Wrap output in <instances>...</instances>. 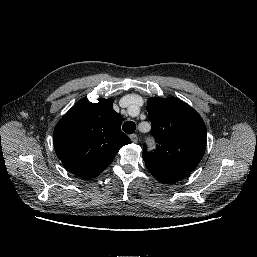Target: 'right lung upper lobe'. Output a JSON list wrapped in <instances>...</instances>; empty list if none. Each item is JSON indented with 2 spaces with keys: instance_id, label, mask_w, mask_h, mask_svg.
I'll return each instance as SVG.
<instances>
[{
  "instance_id": "obj_1",
  "label": "right lung upper lobe",
  "mask_w": 257,
  "mask_h": 257,
  "mask_svg": "<svg viewBox=\"0 0 257 257\" xmlns=\"http://www.w3.org/2000/svg\"><path fill=\"white\" fill-rule=\"evenodd\" d=\"M122 116L113 99L77 102L54 129V149L65 168L84 179L98 176L119 149L131 143L121 131Z\"/></svg>"
}]
</instances>
